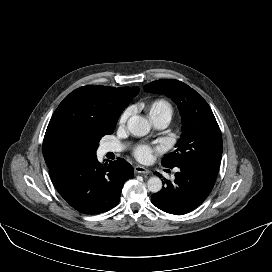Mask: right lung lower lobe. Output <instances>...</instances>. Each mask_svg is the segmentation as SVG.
I'll return each instance as SVG.
<instances>
[{
  "label": "right lung lower lobe",
  "instance_id": "1",
  "mask_svg": "<svg viewBox=\"0 0 272 272\" xmlns=\"http://www.w3.org/2000/svg\"><path fill=\"white\" fill-rule=\"evenodd\" d=\"M49 169L59 194L84 214H99L116 206L124 183L133 176V168L124 159L103 165L96 154Z\"/></svg>",
  "mask_w": 272,
  "mask_h": 272
}]
</instances>
